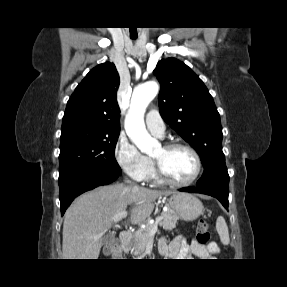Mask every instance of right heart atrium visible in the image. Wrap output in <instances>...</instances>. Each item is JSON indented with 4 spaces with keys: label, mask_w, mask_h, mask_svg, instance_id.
Instances as JSON below:
<instances>
[{
    "label": "right heart atrium",
    "mask_w": 287,
    "mask_h": 287,
    "mask_svg": "<svg viewBox=\"0 0 287 287\" xmlns=\"http://www.w3.org/2000/svg\"><path fill=\"white\" fill-rule=\"evenodd\" d=\"M114 155L118 165L132 179L138 182L145 180L148 171V157L143 155L126 135H119Z\"/></svg>",
    "instance_id": "d8ad5b80"
}]
</instances>
